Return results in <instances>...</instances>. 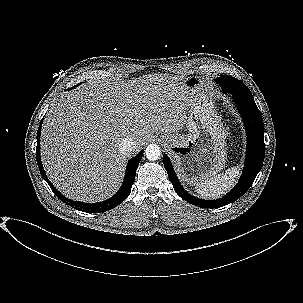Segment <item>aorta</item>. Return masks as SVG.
<instances>
[{"mask_svg": "<svg viewBox=\"0 0 303 303\" xmlns=\"http://www.w3.org/2000/svg\"><path fill=\"white\" fill-rule=\"evenodd\" d=\"M146 158L150 161H156L161 155V149L156 144H150L145 149Z\"/></svg>", "mask_w": 303, "mask_h": 303, "instance_id": "762f6f07", "label": "aorta"}]
</instances>
